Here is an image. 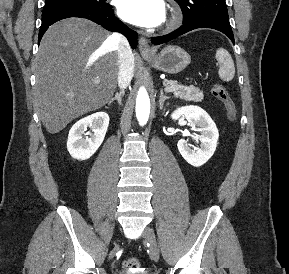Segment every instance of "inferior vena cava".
I'll list each match as a JSON object with an SVG mask.
<instances>
[{
    "label": "inferior vena cava",
    "mask_w": 289,
    "mask_h": 274,
    "mask_svg": "<svg viewBox=\"0 0 289 274\" xmlns=\"http://www.w3.org/2000/svg\"><path fill=\"white\" fill-rule=\"evenodd\" d=\"M111 40L117 45L119 58L118 86L123 90L130 84L133 77L134 55L125 37L113 34Z\"/></svg>",
    "instance_id": "1"
}]
</instances>
